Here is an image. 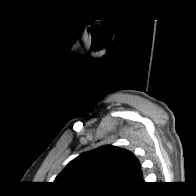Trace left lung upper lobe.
Wrapping results in <instances>:
<instances>
[{
	"mask_svg": "<svg viewBox=\"0 0 196 196\" xmlns=\"http://www.w3.org/2000/svg\"><path fill=\"white\" fill-rule=\"evenodd\" d=\"M54 182L80 193H121L141 183L142 172L130 151L107 145L76 157Z\"/></svg>",
	"mask_w": 196,
	"mask_h": 196,
	"instance_id": "5c2ea615",
	"label": "left lung upper lobe"
}]
</instances>
